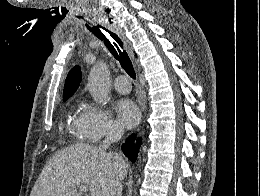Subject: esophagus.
<instances>
[{
  "label": "esophagus",
  "mask_w": 260,
  "mask_h": 196,
  "mask_svg": "<svg viewBox=\"0 0 260 196\" xmlns=\"http://www.w3.org/2000/svg\"><path fill=\"white\" fill-rule=\"evenodd\" d=\"M119 33L121 34V36H123L121 31H119ZM127 49H128V51H130V47L129 46H127Z\"/></svg>",
  "instance_id": "34e87169"
}]
</instances>
